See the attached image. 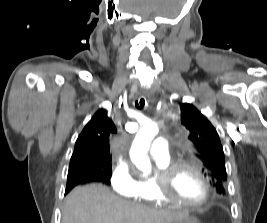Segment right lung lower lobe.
I'll return each mask as SVG.
<instances>
[{
	"label": "right lung lower lobe",
	"instance_id": "98d812e1",
	"mask_svg": "<svg viewBox=\"0 0 267 223\" xmlns=\"http://www.w3.org/2000/svg\"><path fill=\"white\" fill-rule=\"evenodd\" d=\"M108 179V177L96 172H77L72 175H68L66 193L78 184H82L89 181H100L103 183H107Z\"/></svg>",
	"mask_w": 267,
	"mask_h": 223
}]
</instances>
